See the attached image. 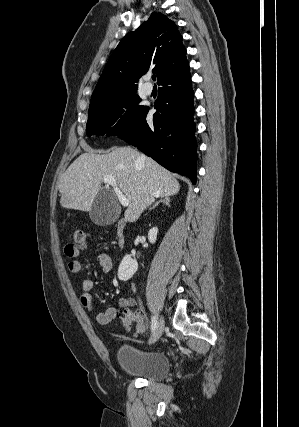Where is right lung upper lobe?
<instances>
[{
  "mask_svg": "<svg viewBox=\"0 0 299 427\" xmlns=\"http://www.w3.org/2000/svg\"><path fill=\"white\" fill-rule=\"evenodd\" d=\"M151 65H154L152 71L157 75L158 84L189 70L186 49L176 25L156 12L120 41L104 68L91 102L136 91V83Z\"/></svg>",
  "mask_w": 299,
  "mask_h": 427,
  "instance_id": "obj_1",
  "label": "right lung upper lobe"
}]
</instances>
